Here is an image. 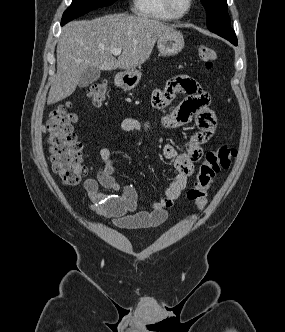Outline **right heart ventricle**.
Segmentation results:
<instances>
[{
  "label": "right heart ventricle",
  "mask_w": 285,
  "mask_h": 332,
  "mask_svg": "<svg viewBox=\"0 0 285 332\" xmlns=\"http://www.w3.org/2000/svg\"><path fill=\"white\" fill-rule=\"evenodd\" d=\"M133 13L139 17L156 21L178 19L166 8L164 0H133Z\"/></svg>",
  "instance_id": "obj_1"
}]
</instances>
